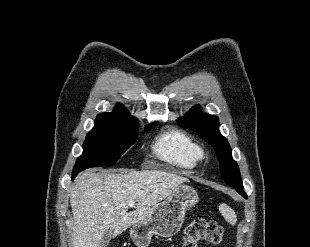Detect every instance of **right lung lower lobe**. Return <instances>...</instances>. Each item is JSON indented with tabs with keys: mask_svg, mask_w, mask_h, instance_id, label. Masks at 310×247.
<instances>
[{
	"mask_svg": "<svg viewBox=\"0 0 310 247\" xmlns=\"http://www.w3.org/2000/svg\"><path fill=\"white\" fill-rule=\"evenodd\" d=\"M80 171H73L72 172V180H74V178L77 176V174L79 173Z\"/></svg>",
	"mask_w": 310,
	"mask_h": 247,
	"instance_id": "obj_1",
	"label": "right lung lower lobe"
}]
</instances>
